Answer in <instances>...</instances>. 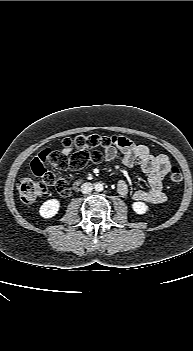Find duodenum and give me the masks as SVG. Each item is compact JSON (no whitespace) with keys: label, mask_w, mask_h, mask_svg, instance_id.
<instances>
[{"label":"duodenum","mask_w":193,"mask_h":351,"mask_svg":"<svg viewBox=\"0 0 193 351\" xmlns=\"http://www.w3.org/2000/svg\"><path fill=\"white\" fill-rule=\"evenodd\" d=\"M79 181H76L75 183H74V186L76 187V186H78L79 185Z\"/></svg>","instance_id":"obj_1"}]
</instances>
